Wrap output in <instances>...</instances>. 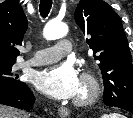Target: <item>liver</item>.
<instances>
[{"instance_id":"obj_1","label":"liver","mask_w":133,"mask_h":118,"mask_svg":"<svg viewBox=\"0 0 133 118\" xmlns=\"http://www.w3.org/2000/svg\"><path fill=\"white\" fill-rule=\"evenodd\" d=\"M0 118H29V115L24 111L0 105Z\"/></svg>"}]
</instances>
